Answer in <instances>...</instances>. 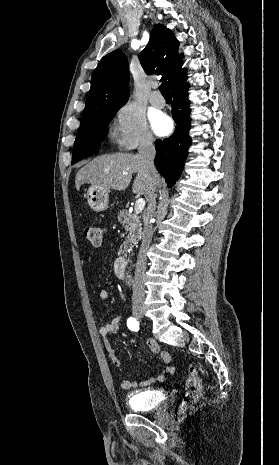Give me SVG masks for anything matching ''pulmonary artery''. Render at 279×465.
Returning a JSON list of instances; mask_svg holds the SVG:
<instances>
[{"instance_id":"pulmonary-artery-1","label":"pulmonary artery","mask_w":279,"mask_h":465,"mask_svg":"<svg viewBox=\"0 0 279 465\" xmlns=\"http://www.w3.org/2000/svg\"><path fill=\"white\" fill-rule=\"evenodd\" d=\"M152 106L156 108H163L165 106V99L159 94L158 91H152L149 97Z\"/></svg>"}]
</instances>
